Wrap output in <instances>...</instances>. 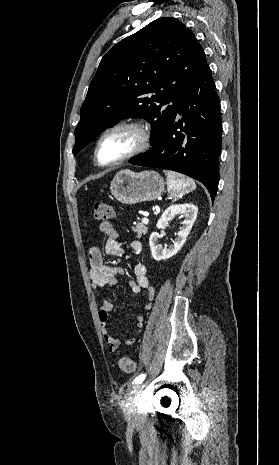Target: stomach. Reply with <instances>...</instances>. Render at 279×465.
Instances as JSON below:
<instances>
[{
    "instance_id": "obj_1",
    "label": "stomach",
    "mask_w": 279,
    "mask_h": 465,
    "mask_svg": "<svg viewBox=\"0 0 279 465\" xmlns=\"http://www.w3.org/2000/svg\"><path fill=\"white\" fill-rule=\"evenodd\" d=\"M164 180L155 171L121 170L110 184L112 195L121 203L131 205L158 198L164 191Z\"/></svg>"
}]
</instances>
